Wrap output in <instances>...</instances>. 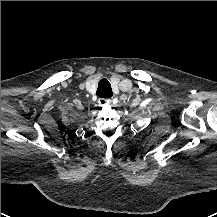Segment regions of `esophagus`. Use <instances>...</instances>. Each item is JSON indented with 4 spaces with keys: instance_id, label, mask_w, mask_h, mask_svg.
Returning <instances> with one entry per match:
<instances>
[{
    "instance_id": "1",
    "label": "esophagus",
    "mask_w": 217,
    "mask_h": 217,
    "mask_svg": "<svg viewBox=\"0 0 217 217\" xmlns=\"http://www.w3.org/2000/svg\"><path fill=\"white\" fill-rule=\"evenodd\" d=\"M98 102L101 105H108V104H110L112 102V100L111 99H106V98H100L98 100Z\"/></svg>"
}]
</instances>
